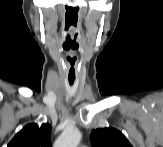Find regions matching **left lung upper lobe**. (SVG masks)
<instances>
[{"label": "left lung upper lobe", "instance_id": "5c2ea615", "mask_svg": "<svg viewBox=\"0 0 163 147\" xmlns=\"http://www.w3.org/2000/svg\"><path fill=\"white\" fill-rule=\"evenodd\" d=\"M93 147H132L127 138L114 128H99L92 131Z\"/></svg>", "mask_w": 163, "mask_h": 147}]
</instances>
